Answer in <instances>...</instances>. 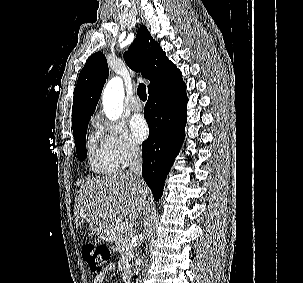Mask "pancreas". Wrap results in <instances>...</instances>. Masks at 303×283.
<instances>
[{"label":"pancreas","instance_id":"1","mask_svg":"<svg viewBox=\"0 0 303 283\" xmlns=\"http://www.w3.org/2000/svg\"><path fill=\"white\" fill-rule=\"evenodd\" d=\"M132 233L128 226L122 223H115L111 226L107 233V238L116 245V249L120 252V264L125 265L132 257L133 248L130 243Z\"/></svg>","mask_w":303,"mask_h":283}]
</instances>
